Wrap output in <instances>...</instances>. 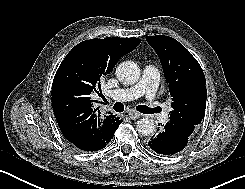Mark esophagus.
<instances>
[{
    "mask_svg": "<svg viewBox=\"0 0 245 189\" xmlns=\"http://www.w3.org/2000/svg\"><path fill=\"white\" fill-rule=\"evenodd\" d=\"M128 115H129V117H130L131 119H133V120H136V119H138V118H140V117L142 116L139 112H137V111H135V110H130V111L128 112Z\"/></svg>",
    "mask_w": 245,
    "mask_h": 189,
    "instance_id": "34e87169",
    "label": "esophagus"
}]
</instances>
